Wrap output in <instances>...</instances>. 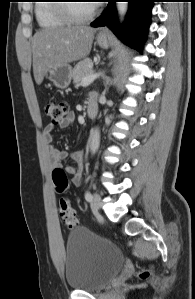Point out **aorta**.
Returning a JSON list of instances; mask_svg holds the SVG:
<instances>
[{
    "mask_svg": "<svg viewBox=\"0 0 195 299\" xmlns=\"http://www.w3.org/2000/svg\"><path fill=\"white\" fill-rule=\"evenodd\" d=\"M116 7H117L120 21H123L128 10V3L118 2ZM99 145H100V132L98 129H94L92 130V134H91V142H90L91 152L95 153L98 150Z\"/></svg>",
    "mask_w": 195,
    "mask_h": 299,
    "instance_id": "1",
    "label": "aorta"
}]
</instances>
